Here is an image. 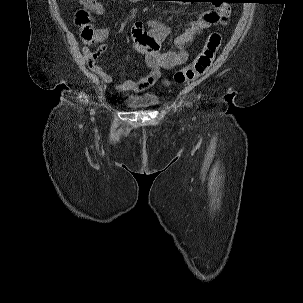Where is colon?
I'll return each mask as SVG.
<instances>
[{"mask_svg": "<svg viewBox=\"0 0 303 303\" xmlns=\"http://www.w3.org/2000/svg\"><path fill=\"white\" fill-rule=\"evenodd\" d=\"M91 1L92 0H80L84 5H88ZM76 24L81 28L83 42L87 45L93 44L98 36L91 23L90 15L84 10H79L76 15ZM221 40L222 37L218 31L212 32L194 61L187 67L176 72L174 76L175 81L177 83H185L203 76L214 60L221 45ZM144 41L151 42L150 39H144Z\"/></svg>", "mask_w": 303, "mask_h": 303, "instance_id": "colon-1", "label": "colon"}]
</instances>
